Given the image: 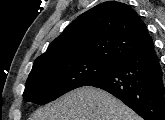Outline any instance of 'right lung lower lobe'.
Returning a JSON list of instances; mask_svg holds the SVG:
<instances>
[{
    "instance_id": "1",
    "label": "right lung lower lobe",
    "mask_w": 165,
    "mask_h": 120,
    "mask_svg": "<svg viewBox=\"0 0 165 120\" xmlns=\"http://www.w3.org/2000/svg\"><path fill=\"white\" fill-rule=\"evenodd\" d=\"M153 41L129 53L106 75L85 86L122 100L144 120H165V88Z\"/></svg>"
}]
</instances>
